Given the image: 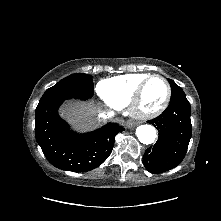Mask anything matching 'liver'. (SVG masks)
<instances>
[{
	"label": "liver",
	"mask_w": 221,
	"mask_h": 221,
	"mask_svg": "<svg viewBox=\"0 0 221 221\" xmlns=\"http://www.w3.org/2000/svg\"><path fill=\"white\" fill-rule=\"evenodd\" d=\"M97 111L92 103H70L61 109V115L76 128L88 130L96 125Z\"/></svg>",
	"instance_id": "6515ba94"
}]
</instances>
